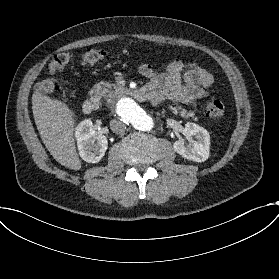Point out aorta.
<instances>
[{
	"label": "aorta",
	"instance_id": "762f6f07",
	"mask_svg": "<svg viewBox=\"0 0 279 279\" xmlns=\"http://www.w3.org/2000/svg\"><path fill=\"white\" fill-rule=\"evenodd\" d=\"M115 111L123 120L130 123L140 131H150L153 126V119L130 97H120L115 102Z\"/></svg>",
	"mask_w": 279,
	"mask_h": 279
}]
</instances>
